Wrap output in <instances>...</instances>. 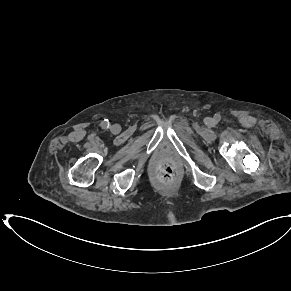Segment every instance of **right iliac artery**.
Masks as SVG:
<instances>
[{"label":"right iliac artery","mask_w":291,"mask_h":291,"mask_svg":"<svg viewBox=\"0 0 291 291\" xmlns=\"http://www.w3.org/2000/svg\"><path fill=\"white\" fill-rule=\"evenodd\" d=\"M101 127L103 128V129H108L109 127H110V123H109V121L108 120H104V121H102V123H101Z\"/></svg>","instance_id":"obj_1"}]
</instances>
